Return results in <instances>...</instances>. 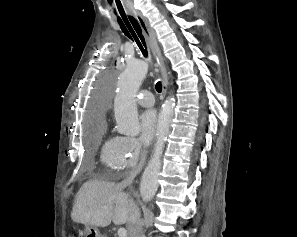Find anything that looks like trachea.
I'll list each match as a JSON object with an SVG mask.
<instances>
[{
	"instance_id": "1",
	"label": "trachea",
	"mask_w": 297,
	"mask_h": 237,
	"mask_svg": "<svg viewBox=\"0 0 297 237\" xmlns=\"http://www.w3.org/2000/svg\"><path fill=\"white\" fill-rule=\"evenodd\" d=\"M118 23L123 33L131 40H134L136 42L143 56L148 57L146 43L142 35V29L138 21L134 17H130L129 19L120 20L118 21ZM155 88L159 93L162 91V84L160 81L156 83Z\"/></svg>"
}]
</instances>
